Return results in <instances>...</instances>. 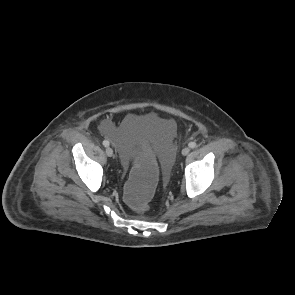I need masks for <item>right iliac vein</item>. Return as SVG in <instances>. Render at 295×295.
<instances>
[{
    "label": "right iliac vein",
    "instance_id": "63e3f726",
    "mask_svg": "<svg viewBox=\"0 0 295 295\" xmlns=\"http://www.w3.org/2000/svg\"><path fill=\"white\" fill-rule=\"evenodd\" d=\"M106 154L107 156L111 157L113 155V150L111 147H107L106 148Z\"/></svg>",
    "mask_w": 295,
    "mask_h": 295
}]
</instances>
